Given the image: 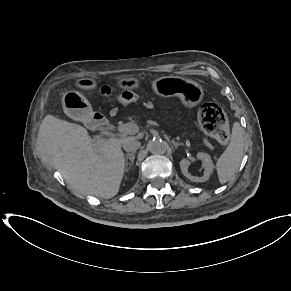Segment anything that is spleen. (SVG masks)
I'll return each instance as SVG.
<instances>
[{"label": "spleen", "instance_id": "3e777b00", "mask_svg": "<svg viewBox=\"0 0 291 291\" xmlns=\"http://www.w3.org/2000/svg\"><path fill=\"white\" fill-rule=\"evenodd\" d=\"M244 155L243 131L238 122L232 127L231 141L216 163V170L221 184L229 181L236 171Z\"/></svg>", "mask_w": 291, "mask_h": 291}]
</instances>
